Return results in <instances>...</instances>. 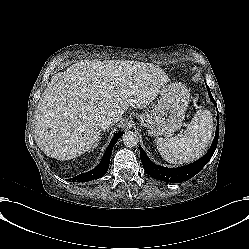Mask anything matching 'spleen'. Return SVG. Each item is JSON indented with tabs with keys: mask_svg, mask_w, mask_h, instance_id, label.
Returning <instances> with one entry per match:
<instances>
[{
	"mask_svg": "<svg viewBox=\"0 0 249 249\" xmlns=\"http://www.w3.org/2000/svg\"><path fill=\"white\" fill-rule=\"evenodd\" d=\"M212 119L207 110H199L184 134L171 138H157L161 156L172 164L188 163L199 158L208 147L212 133Z\"/></svg>",
	"mask_w": 249,
	"mask_h": 249,
	"instance_id": "obj_1",
	"label": "spleen"
}]
</instances>
